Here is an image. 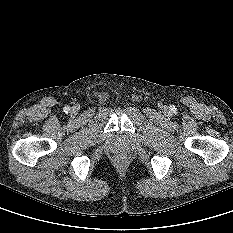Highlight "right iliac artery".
<instances>
[{"instance_id":"1","label":"right iliac artery","mask_w":233,"mask_h":233,"mask_svg":"<svg viewBox=\"0 0 233 233\" xmlns=\"http://www.w3.org/2000/svg\"><path fill=\"white\" fill-rule=\"evenodd\" d=\"M69 111H70V107H69V106H65V107H64V112H65V113H68Z\"/></svg>"}]
</instances>
